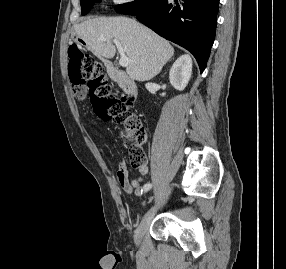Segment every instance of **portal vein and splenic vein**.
I'll list each match as a JSON object with an SVG mask.
<instances>
[{"instance_id": "1", "label": "portal vein and splenic vein", "mask_w": 286, "mask_h": 269, "mask_svg": "<svg viewBox=\"0 0 286 269\" xmlns=\"http://www.w3.org/2000/svg\"><path fill=\"white\" fill-rule=\"evenodd\" d=\"M100 40L105 42L104 38H100ZM113 42L116 45L117 50H118V52L120 54L119 64L122 67H127L130 64V59L125 55V51H124L121 43L119 42V40L114 39Z\"/></svg>"}]
</instances>
